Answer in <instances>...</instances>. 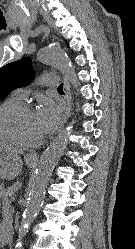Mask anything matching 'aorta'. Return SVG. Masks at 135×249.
<instances>
[{
    "mask_svg": "<svg viewBox=\"0 0 135 249\" xmlns=\"http://www.w3.org/2000/svg\"><path fill=\"white\" fill-rule=\"evenodd\" d=\"M38 57L43 63L60 69L68 77L71 84L76 89L78 88L79 82L75 70L61 48L56 46L45 47L38 52ZM70 128L71 126L67 127L53 139L41 155L36 170L29 181L28 200L18 229L16 249H22V240L28 232L29 225L33 222L42 206L46 186L54 167L66 148Z\"/></svg>",
    "mask_w": 135,
    "mask_h": 249,
    "instance_id": "aorta-1",
    "label": "aorta"
}]
</instances>
